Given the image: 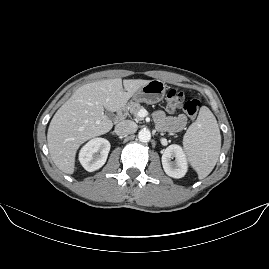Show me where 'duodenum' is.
<instances>
[{
	"label": "duodenum",
	"mask_w": 269,
	"mask_h": 269,
	"mask_svg": "<svg viewBox=\"0 0 269 269\" xmlns=\"http://www.w3.org/2000/svg\"><path fill=\"white\" fill-rule=\"evenodd\" d=\"M126 115V110L125 108H119L118 111L116 112V121L120 122L125 118Z\"/></svg>",
	"instance_id": "duodenum-1"
}]
</instances>
